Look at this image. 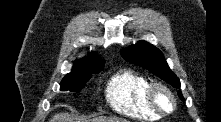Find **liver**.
Here are the masks:
<instances>
[{"label":"liver","instance_id":"liver-1","mask_svg":"<svg viewBox=\"0 0 221 122\" xmlns=\"http://www.w3.org/2000/svg\"><path fill=\"white\" fill-rule=\"evenodd\" d=\"M50 122H74V118L69 113H58L55 114L51 119ZM92 122H127L125 119L122 118H104L99 117L93 119Z\"/></svg>","mask_w":221,"mask_h":122}]
</instances>
